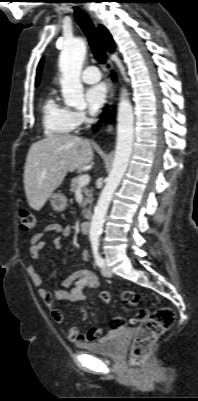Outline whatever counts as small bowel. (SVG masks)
<instances>
[{
  "mask_svg": "<svg viewBox=\"0 0 198 401\" xmlns=\"http://www.w3.org/2000/svg\"><path fill=\"white\" fill-rule=\"evenodd\" d=\"M56 235L54 245L62 247L71 234V227L69 225H62L59 223H50L45 225L37 234H35L30 241V255L34 261L41 257L42 249L45 245L44 238L48 235ZM89 252L84 250L82 258L84 261L89 260ZM27 274L32 283L38 287V293L46 304L51 308V315L56 323L64 322V314L61 310L55 309V301H69L73 303H81L87 299L84 290L98 288L101 282L97 275L89 269H81L73 273L66 279L56 290L50 291L43 288L42 279L38 274L35 266L30 265L27 267ZM99 299L103 303L111 301V295L107 291H102L99 294ZM65 337L79 346H83L88 342L99 339L103 333V328L99 326L91 327L87 332L81 333L75 327H65L63 329Z\"/></svg>",
  "mask_w": 198,
  "mask_h": 401,
  "instance_id": "c3829d8e",
  "label": "small bowel"
}]
</instances>
